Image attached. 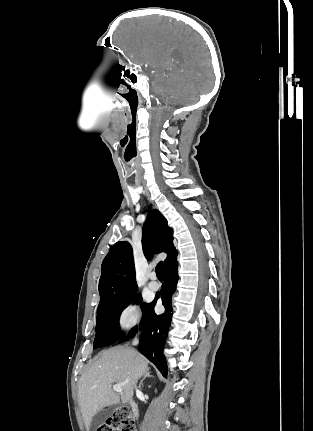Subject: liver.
<instances>
[{
    "instance_id": "liver-1",
    "label": "liver",
    "mask_w": 313,
    "mask_h": 431,
    "mask_svg": "<svg viewBox=\"0 0 313 431\" xmlns=\"http://www.w3.org/2000/svg\"><path fill=\"white\" fill-rule=\"evenodd\" d=\"M148 368V360L132 348L117 346L100 352L78 382V401L86 429L103 408L130 401L133 386ZM112 384L122 385L121 396Z\"/></svg>"
}]
</instances>
